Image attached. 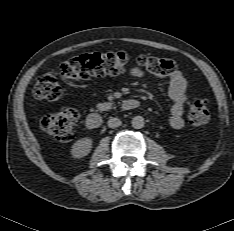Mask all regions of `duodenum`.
I'll return each instance as SVG.
<instances>
[{
    "mask_svg": "<svg viewBox=\"0 0 234 231\" xmlns=\"http://www.w3.org/2000/svg\"><path fill=\"white\" fill-rule=\"evenodd\" d=\"M139 102L136 99H127L122 103V109L125 111H132L137 109ZM86 126L89 129H98L103 124V119L98 113H91L86 117L85 120Z\"/></svg>",
    "mask_w": 234,
    "mask_h": 231,
    "instance_id": "obj_1",
    "label": "duodenum"
}]
</instances>
